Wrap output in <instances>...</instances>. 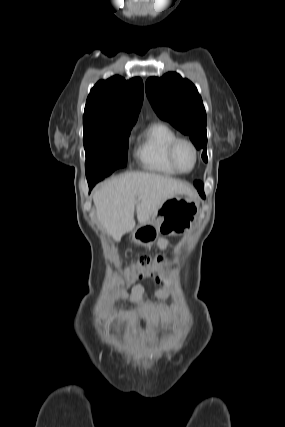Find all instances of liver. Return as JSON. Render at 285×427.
Masks as SVG:
<instances>
[{"instance_id":"1","label":"liver","mask_w":285,"mask_h":427,"mask_svg":"<svg viewBox=\"0 0 285 427\" xmlns=\"http://www.w3.org/2000/svg\"><path fill=\"white\" fill-rule=\"evenodd\" d=\"M176 195L194 197L195 191L188 184L168 176L131 172L108 180L95 190L93 202L102 227L119 241L134 229L135 210L139 224L144 225L158 208Z\"/></svg>"}]
</instances>
